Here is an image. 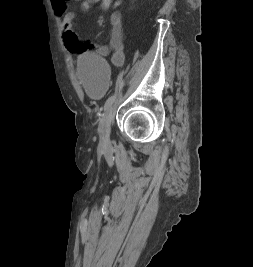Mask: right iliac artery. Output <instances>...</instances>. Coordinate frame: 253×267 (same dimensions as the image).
<instances>
[{
  "label": "right iliac artery",
  "instance_id": "obj_1",
  "mask_svg": "<svg viewBox=\"0 0 253 267\" xmlns=\"http://www.w3.org/2000/svg\"><path fill=\"white\" fill-rule=\"evenodd\" d=\"M114 101H115V95L110 96L104 104V111H107L111 107Z\"/></svg>",
  "mask_w": 253,
  "mask_h": 267
}]
</instances>
